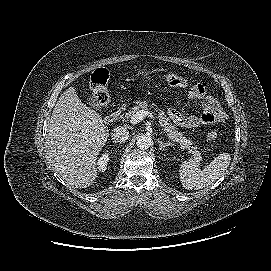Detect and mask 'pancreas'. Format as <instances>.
I'll return each instance as SVG.
<instances>
[{
    "instance_id": "1",
    "label": "pancreas",
    "mask_w": 271,
    "mask_h": 271,
    "mask_svg": "<svg viewBox=\"0 0 271 271\" xmlns=\"http://www.w3.org/2000/svg\"><path fill=\"white\" fill-rule=\"evenodd\" d=\"M149 107L150 106L148 105L147 101H136L135 106H133L123 118L129 120L136 112L140 110L147 111ZM157 118L159 119V124L162 127V130L167 134L168 138L172 142L179 143L183 149H188V151L193 154V158L191 159L199 164V161L201 160V153L198 151L196 146L192 145L193 141L184 137L183 132L177 130L176 126L171 123L164 111H159Z\"/></svg>"
}]
</instances>
